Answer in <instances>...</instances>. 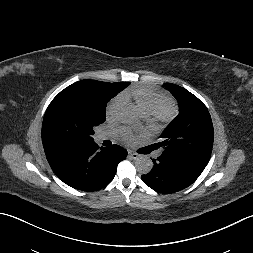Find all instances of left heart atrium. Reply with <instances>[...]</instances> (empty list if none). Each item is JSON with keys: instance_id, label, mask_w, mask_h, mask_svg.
Instances as JSON below:
<instances>
[{"instance_id": "39dd6f15", "label": "left heart atrium", "mask_w": 253, "mask_h": 253, "mask_svg": "<svg viewBox=\"0 0 253 253\" xmlns=\"http://www.w3.org/2000/svg\"><path fill=\"white\" fill-rule=\"evenodd\" d=\"M124 135L126 138H130L132 136V134L130 132H125Z\"/></svg>"}]
</instances>
